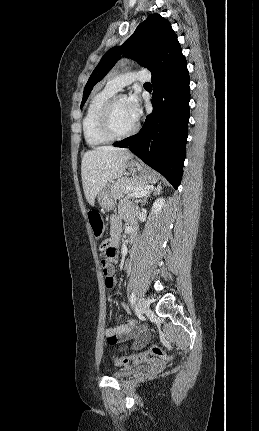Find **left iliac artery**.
I'll list each match as a JSON object with an SVG mask.
<instances>
[{
    "label": "left iliac artery",
    "mask_w": 259,
    "mask_h": 431,
    "mask_svg": "<svg viewBox=\"0 0 259 431\" xmlns=\"http://www.w3.org/2000/svg\"><path fill=\"white\" fill-rule=\"evenodd\" d=\"M135 301H136V295H135L134 292H132L131 296H130V303H131V305H133L135 303Z\"/></svg>",
    "instance_id": "obj_1"
}]
</instances>
